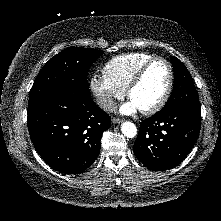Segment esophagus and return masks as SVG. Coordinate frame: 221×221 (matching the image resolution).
Segmentation results:
<instances>
[{"label":"esophagus","instance_id":"esophagus-1","mask_svg":"<svg viewBox=\"0 0 221 221\" xmlns=\"http://www.w3.org/2000/svg\"><path fill=\"white\" fill-rule=\"evenodd\" d=\"M122 122H123V120L119 119V118H113L112 119V123H114V124H119V123H122Z\"/></svg>","mask_w":221,"mask_h":221}]
</instances>
